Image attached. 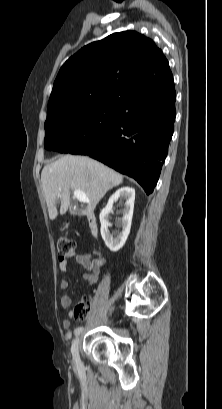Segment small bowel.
I'll return each instance as SVG.
<instances>
[{
  "label": "small bowel",
  "mask_w": 222,
  "mask_h": 409,
  "mask_svg": "<svg viewBox=\"0 0 222 409\" xmlns=\"http://www.w3.org/2000/svg\"><path fill=\"white\" fill-rule=\"evenodd\" d=\"M75 261L82 265L86 270H88L87 273L83 275L84 279L87 281L89 285H94L96 284L98 280V275L100 272V267H101V260L92 258L88 253H79L75 257ZM62 271L66 270V267L64 264L61 265ZM60 287L62 289H67L69 287V282L66 279H63L60 282ZM72 304V299L69 295L64 294L60 298V305L63 308H69ZM63 327L65 329V336L70 337L71 336V322L69 319H64L63 322Z\"/></svg>",
  "instance_id": "obj_1"
}]
</instances>
